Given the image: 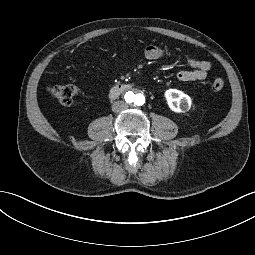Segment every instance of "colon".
<instances>
[{
  "label": "colon",
  "instance_id": "colon-1",
  "mask_svg": "<svg viewBox=\"0 0 255 255\" xmlns=\"http://www.w3.org/2000/svg\"><path fill=\"white\" fill-rule=\"evenodd\" d=\"M224 87V81L222 79H215L211 88L214 92H219ZM49 94L58 100L63 105H71L78 94V89L74 85H54L48 88Z\"/></svg>",
  "mask_w": 255,
  "mask_h": 255
}]
</instances>
